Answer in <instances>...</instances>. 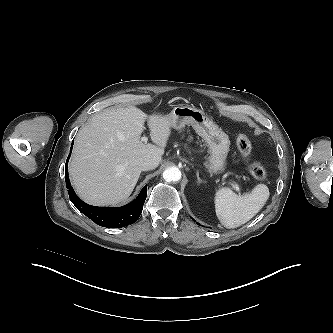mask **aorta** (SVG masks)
<instances>
[{
	"label": "aorta",
	"instance_id": "aorta-1",
	"mask_svg": "<svg viewBox=\"0 0 333 333\" xmlns=\"http://www.w3.org/2000/svg\"><path fill=\"white\" fill-rule=\"evenodd\" d=\"M163 178L168 182L179 181L181 179V171L178 167H169L163 172Z\"/></svg>",
	"mask_w": 333,
	"mask_h": 333
}]
</instances>
